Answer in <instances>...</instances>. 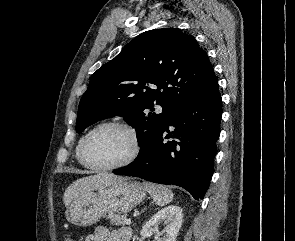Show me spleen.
Instances as JSON below:
<instances>
[{
  "mask_svg": "<svg viewBox=\"0 0 295 241\" xmlns=\"http://www.w3.org/2000/svg\"><path fill=\"white\" fill-rule=\"evenodd\" d=\"M146 191L151 195L154 202L160 206L167 205L173 199V192L163 185H156L149 182H143Z\"/></svg>",
  "mask_w": 295,
  "mask_h": 241,
  "instance_id": "obj_1",
  "label": "spleen"
}]
</instances>
